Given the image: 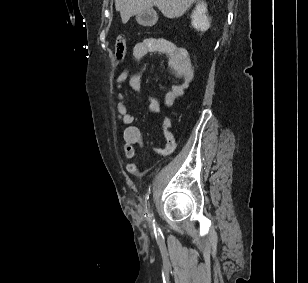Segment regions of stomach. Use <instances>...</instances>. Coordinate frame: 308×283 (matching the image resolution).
<instances>
[{
  "label": "stomach",
  "mask_w": 308,
  "mask_h": 283,
  "mask_svg": "<svg viewBox=\"0 0 308 283\" xmlns=\"http://www.w3.org/2000/svg\"><path fill=\"white\" fill-rule=\"evenodd\" d=\"M136 20L139 24L148 25L150 24L151 16L149 15V11H143L137 14Z\"/></svg>",
  "instance_id": "obj_1"
}]
</instances>
